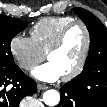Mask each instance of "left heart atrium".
I'll return each instance as SVG.
<instances>
[{
    "mask_svg": "<svg viewBox=\"0 0 107 107\" xmlns=\"http://www.w3.org/2000/svg\"><path fill=\"white\" fill-rule=\"evenodd\" d=\"M32 75L43 82H55L63 76L58 66L51 61L35 68Z\"/></svg>",
    "mask_w": 107,
    "mask_h": 107,
    "instance_id": "left-heart-atrium-1",
    "label": "left heart atrium"
}]
</instances>
